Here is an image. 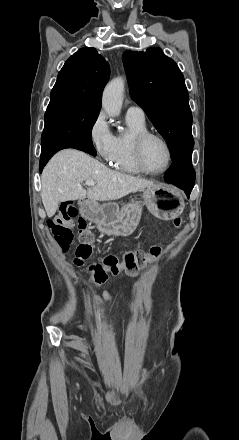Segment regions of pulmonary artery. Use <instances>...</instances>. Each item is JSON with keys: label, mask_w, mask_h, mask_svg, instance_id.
<instances>
[{"label": "pulmonary artery", "mask_w": 239, "mask_h": 440, "mask_svg": "<svg viewBox=\"0 0 239 440\" xmlns=\"http://www.w3.org/2000/svg\"><path fill=\"white\" fill-rule=\"evenodd\" d=\"M126 117L139 122L145 121V112L142 107L136 104H130L126 111Z\"/></svg>", "instance_id": "obj_1"}]
</instances>
